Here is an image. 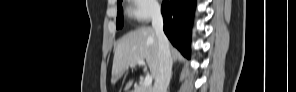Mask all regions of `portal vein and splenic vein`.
<instances>
[{
    "mask_svg": "<svg viewBox=\"0 0 296 92\" xmlns=\"http://www.w3.org/2000/svg\"><path fill=\"white\" fill-rule=\"evenodd\" d=\"M137 64L145 66V61L144 60H138ZM151 84H152V76L151 75H146L145 80H144V85L148 87Z\"/></svg>",
    "mask_w": 296,
    "mask_h": 92,
    "instance_id": "portal-vein-and-splenic-vein-1",
    "label": "portal vein and splenic vein"
}]
</instances>
